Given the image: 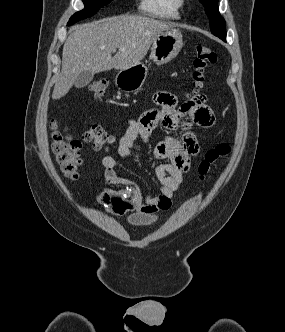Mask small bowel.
I'll return each mask as SVG.
<instances>
[{"mask_svg":"<svg viewBox=\"0 0 285 332\" xmlns=\"http://www.w3.org/2000/svg\"><path fill=\"white\" fill-rule=\"evenodd\" d=\"M155 102L158 106H151V111L128 120L127 129L118 143L117 152L120 158L126 159L130 156L137 140L147 142L157 126H163V130H178L183 122L203 128L212 127L215 123L214 113L203 97H194L180 105L179 96L158 92ZM199 152L198 140L190 132L185 133L180 140L167 139L160 142L155 148L154 157L156 160H168V163L155 166L158 194L146 196H143L132 181L117 174L116 159L106 155L102 164L107 188L97 194L95 200L111 214L131 213L129 221L133 224H151L157 220L160 212L170 208L172 198L190 167L191 159ZM116 185H123V188L116 190L113 188Z\"/></svg>","mask_w":285,"mask_h":332,"instance_id":"1","label":"small bowel"}]
</instances>
